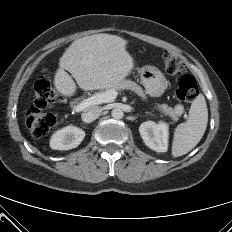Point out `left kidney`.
<instances>
[{"instance_id":"obj_1","label":"left kidney","mask_w":232,"mask_h":232,"mask_svg":"<svg viewBox=\"0 0 232 232\" xmlns=\"http://www.w3.org/2000/svg\"><path fill=\"white\" fill-rule=\"evenodd\" d=\"M140 135L150 149L166 152L168 149L169 127L165 122L146 121L139 127Z\"/></svg>"}]
</instances>
